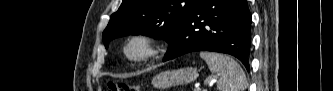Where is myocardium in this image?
<instances>
[{
    "instance_id": "obj_1",
    "label": "myocardium",
    "mask_w": 333,
    "mask_h": 91,
    "mask_svg": "<svg viewBox=\"0 0 333 91\" xmlns=\"http://www.w3.org/2000/svg\"><path fill=\"white\" fill-rule=\"evenodd\" d=\"M121 51L127 61L142 63L158 58L164 52V42L153 33L135 32L124 40Z\"/></svg>"
}]
</instances>
